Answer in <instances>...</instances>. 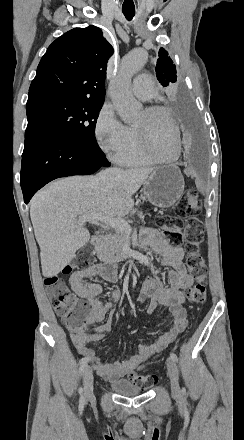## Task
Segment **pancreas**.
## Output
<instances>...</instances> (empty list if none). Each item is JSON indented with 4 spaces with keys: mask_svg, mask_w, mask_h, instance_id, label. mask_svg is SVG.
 I'll return each instance as SVG.
<instances>
[{
    "mask_svg": "<svg viewBox=\"0 0 244 440\" xmlns=\"http://www.w3.org/2000/svg\"><path fill=\"white\" fill-rule=\"evenodd\" d=\"M128 232L123 230H114L111 234L103 236L102 240L95 246V252L100 262L106 264H115V262H122L126 256L123 254L124 246H127Z\"/></svg>",
    "mask_w": 244,
    "mask_h": 440,
    "instance_id": "obj_1",
    "label": "pancreas"
}]
</instances>
